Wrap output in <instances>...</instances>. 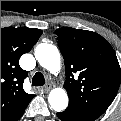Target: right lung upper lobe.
Returning <instances> with one entry per match:
<instances>
[{"label": "right lung upper lobe", "mask_w": 121, "mask_h": 121, "mask_svg": "<svg viewBox=\"0 0 121 121\" xmlns=\"http://www.w3.org/2000/svg\"><path fill=\"white\" fill-rule=\"evenodd\" d=\"M41 34V30L34 28L1 29V121H12L35 96L23 89L27 71L18 61L31 50Z\"/></svg>", "instance_id": "cb5924a9"}]
</instances>
